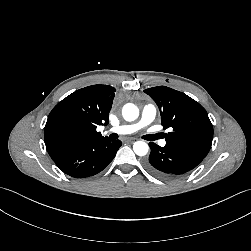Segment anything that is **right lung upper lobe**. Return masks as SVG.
<instances>
[{
	"label": "right lung upper lobe",
	"instance_id": "right-lung-upper-lobe-1",
	"mask_svg": "<svg viewBox=\"0 0 251 251\" xmlns=\"http://www.w3.org/2000/svg\"><path fill=\"white\" fill-rule=\"evenodd\" d=\"M114 92L109 85L88 86L53 108L44 128L45 145L53 160L79 145L106 138L96 128L109 123Z\"/></svg>",
	"mask_w": 251,
	"mask_h": 251
}]
</instances>
